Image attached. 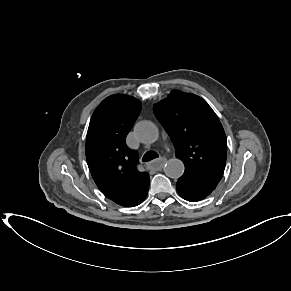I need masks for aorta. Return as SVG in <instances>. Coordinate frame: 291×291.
Listing matches in <instances>:
<instances>
[{
	"mask_svg": "<svg viewBox=\"0 0 291 291\" xmlns=\"http://www.w3.org/2000/svg\"><path fill=\"white\" fill-rule=\"evenodd\" d=\"M137 139L144 144H152L159 138L157 126L150 121L139 122L135 127ZM185 170L184 164L180 159H170L164 167L165 174L171 178H179Z\"/></svg>",
	"mask_w": 291,
	"mask_h": 291,
	"instance_id": "aorta-1",
	"label": "aorta"
}]
</instances>
